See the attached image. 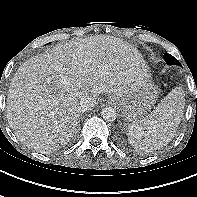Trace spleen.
<instances>
[{
	"instance_id": "1",
	"label": "spleen",
	"mask_w": 197,
	"mask_h": 197,
	"mask_svg": "<svg viewBox=\"0 0 197 197\" xmlns=\"http://www.w3.org/2000/svg\"><path fill=\"white\" fill-rule=\"evenodd\" d=\"M185 106V92L175 87L146 117L128 126L129 142L136 149L152 151L168 144L175 136Z\"/></svg>"
}]
</instances>
